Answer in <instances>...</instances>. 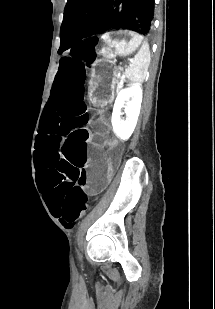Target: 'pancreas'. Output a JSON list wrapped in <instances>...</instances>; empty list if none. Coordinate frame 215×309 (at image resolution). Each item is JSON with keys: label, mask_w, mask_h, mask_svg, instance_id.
<instances>
[{"label": "pancreas", "mask_w": 215, "mask_h": 309, "mask_svg": "<svg viewBox=\"0 0 215 309\" xmlns=\"http://www.w3.org/2000/svg\"><path fill=\"white\" fill-rule=\"evenodd\" d=\"M116 82H117V90H119L121 84H119V80H116Z\"/></svg>", "instance_id": "1"}]
</instances>
